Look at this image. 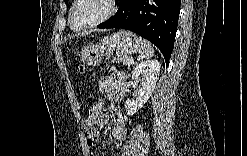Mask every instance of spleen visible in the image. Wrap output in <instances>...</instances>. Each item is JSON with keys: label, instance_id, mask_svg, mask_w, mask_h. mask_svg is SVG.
Here are the masks:
<instances>
[{"label": "spleen", "instance_id": "3e777b00", "mask_svg": "<svg viewBox=\"0 0 247 156\" xmlns=\"http://www.w3.org/2000/svg\"><path fill=\"white\" fill-rule=\"evenodd\" d=\"M139 42H140V57L143 59H149L154 55V49L152 47V45L143 38H139Z\"/></svg>", "mask_w": 247, "mask_h": 156}]
</instances>
